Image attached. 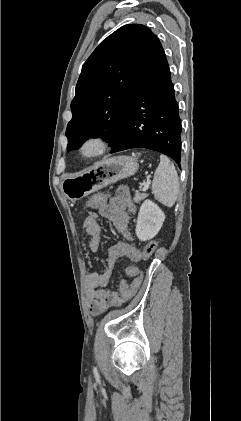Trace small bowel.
I'll return each instance as SVG.
<instances>
[{
    "instance_id": "c3829d8e",
    "label": "small bowel",
    "mask_w": 241,
    "mask_h": 421,
    "mask_svg": "<svg viewBox=\"0 0 241 421\" xmlns=\"http://www.w3.org/2000/svg\"><path fill=\"white\" fill-rule=\"evenodd\" d=\"M134 209L135 205L131 200L129 188L118 187L109 203L100 206L98 212L91 213L84 220L83 228L89 236L90 249L96 251L101 244L102 229L98 222L99 217L112 221L126 239L132 240L128 211H134ZM123 257L137 261L141 258V251L126 241H119L107 251L105 270L102 273L92 272L86 276L85 292L89 309L94 316L125 301L120 294L107 288L116 262Z\"/></svg>"
}]
</instances>
